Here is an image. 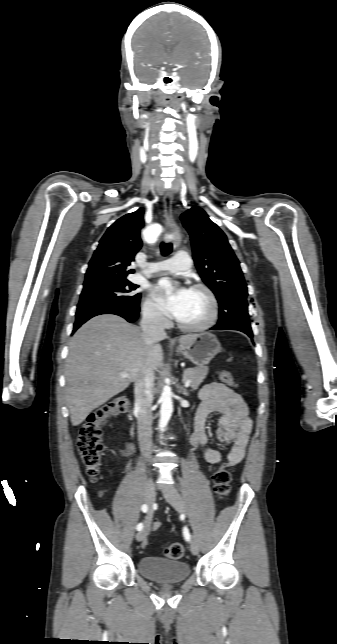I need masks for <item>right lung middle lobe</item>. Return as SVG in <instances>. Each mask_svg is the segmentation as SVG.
Instances as JSON below:
<instances>
[{"label":"right lung middle lobe","mask_w":337,"mask_h":644,"mask_svg":"<svg viewBox=\"0 0 337 644\" xmlns=\"http://www.w3.org/2000/svg\"><path fill=\"white\" fill-rule=\"evenodd\" d=\"M76 317L106 308L136 307L141 295L134 294L138 285L127 279H94L85 281Z\"/></svg>","instance_id":"obj_1"}]
</instances>
